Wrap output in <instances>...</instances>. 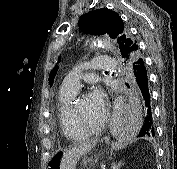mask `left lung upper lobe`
Returning a JSON list of instances; mask_svg holds the SVG:
<instances>
[{
	"label": "left lung upper lobe",
	"instance_id": "5c2ea615",
	"mask_svg": "<svg viewBox=\"0 0 177 169\" xmlns=\"http://www.w3.org/2000/svg\"><path fill=\"white\" fill-rule=\"evenodd\" d=\"M79 24L81 30L92 35L108 34L110 38L116 39L119 44L121 56L128 64L141 57L138 49L134 54H131V47L133 44L136 45V41L130 37L128 28L118 13L107 8L98 9L82 15ZM54 76L55 74H51L50 76L51 84L53 83Z\"/></svg>",
	"mask_w": 177,
	"mask_h": 169
}]
</instances>
